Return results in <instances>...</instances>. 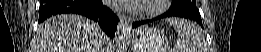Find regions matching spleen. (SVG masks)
Wrapping results in <instances>:
<instances>
[{"label": "spleen", "instance_id": "3e777b00", "mask_svg": "<svg viewBox=\"0 0 261 52\" xmlns=\"http://www.w3.org/2000/svg\"><path fill=\"white\" fill-rule=\"evenodd\" d=\"M172 24L178 33L177 52H197L201 43L199 30L195 25L184 19H174Z\"/></svg>", "mask_w": 261, "mask_h": 52}]
</instances>
